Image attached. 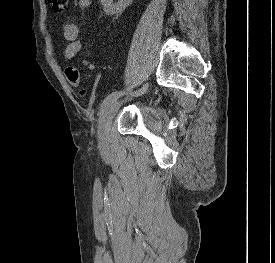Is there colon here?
Listing matches in <instances>:
<instances>
[{
	"mask_svg": "<svg viewBox=\"0 0 275 263\" xmlns=\"http://www.w3.org/2000/svg\"><path fill=\"white\" fill-rule=\"evenodd\" d=\"M68 1L69 0H48L49 4L52 6L53 11L56 13L66 12L68 8ZM64 73L70 85L79 90L81 94H84V82L78 67L76 65L69 64L65 67Z\"/></svg>",
	"mask_w": 275,
	"mask_h": 263,
	"instance_id": "colon-1",
	"label": "colon"
}]
</instances>
